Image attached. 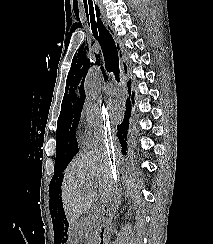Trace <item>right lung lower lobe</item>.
I'll list each match as a JSON object with an SVG mask.
<instances>
[{"mask_svg":"<svg viewBox=\"0 0 213 244\" xmlns=\"http://www.w3.org/2000/svg\"><path fill=\"white\" fill-rule=\"evenodd\" d=\"M129 95H131L130 88H129ZM132 98H134V95H132ZM130 113H131V103H130V99H127L125 117L123 119L122 124L118 125V138L122 146V153L124 155L126 154V149H127V130H128Z\"/></svg>","mask_w":213,"mask_h":244,"instance_id":"98d812e1","label":"right lung lower lobe"}]
</instances>
